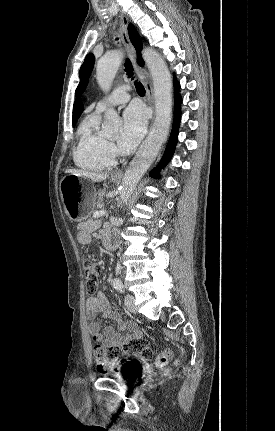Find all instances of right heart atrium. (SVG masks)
I'll return each mask as SVG.
<instances>
[{
	"label": "right heart atrium",
	"mask_w": 275,
	"mask_h": 431,
	"mask_svg": "<svg viewBox=\"0 0 275 431\" xmlns=\"http://www.w3.org/2000/svg\"><path fill=\"white\" fill-rule=\"evenodd\" d=\"M109 150L113 155L116 154V152H117L115 145L110 143V142H109Z\"/></svg>",
	"instance_id": "right-heart-atrium-1"
}]
</instances>
